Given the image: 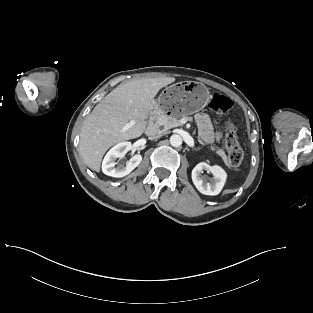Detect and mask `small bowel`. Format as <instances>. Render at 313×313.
I'll list each match as a JSON object with an SVG mask.
<instances>
[{
    "instance_id": "obj_1",
    "label": "small bowel",
    "mask_w": 313,
    "mask_h": 313,
    "mask_svg": "<svg viewBox=\"0 0 313 313\" xmlns=\"http://www.w3.org/2000/svg\"><path fill=\"white\" fill-rule=\"evenodd\" d=\"M195 120L197 122V125L200 130L201 136L206 140V141H212L215 138H220L221 133H214L212 125L210 123V120L208 116L205 113H198L195 116Z\"/></svg>"
}]
</instances>
